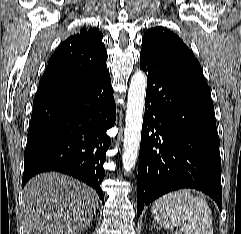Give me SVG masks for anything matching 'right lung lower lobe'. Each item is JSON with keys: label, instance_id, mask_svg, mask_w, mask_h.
<instances>
[{"label": "right lung lower lobe", "instance_id": "obj_1", "mask_svg": "<svg viewBox=\"0 0 241 234\" xmlns=\"http://www.w3.org/2000/svg\"><path fill=\"white\" fill-rule=\"evenodd\" d=\"M116 106L110 74L67 90L35 96L24 152L22 187L34 175L58 171L96 190L101 183Z\"/></svg>", "mask_w": 241, "mask_h": 234}]
</instances>
